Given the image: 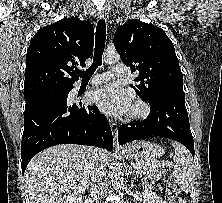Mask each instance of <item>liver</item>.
Wrapping results in <instances>:
<instances>
[{
	"instance_id": "liver-1",
	"label": "liver",
	"mask_w": 222,
	"mask_h": 203,
	"mask_svg": "<svg viewBox=\"0 0 222 203\" xmlns=\"http://www.w3.org/2000/svg\"><path fill=\"white\" fill-rule=\"evenodd\" d=\"M97 154L107 163L105 150ZM91 162V148L81 145H57L37 154L24 174L30 203H69L80 197L90 183Z\"/></svg>"
}]
</instances>
